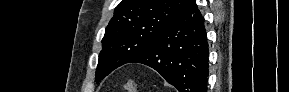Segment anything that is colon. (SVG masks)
I'll return each instance as SVG.
<instances>
[{"label": "colon", "instance_id": "colon-1", "mask_svg": "<svg viewBox=\"0 0 289 92\" xmlns=\"http://www.w3.org/2000/svg\"><path fill=\"white\" fill-rule=\"evenodd\" d=\"M122 86L127 92H138L137 85L133 80L125 81Z\"/></svg>", "mask_w": 289, "mask_h": 92}]
</instances>
